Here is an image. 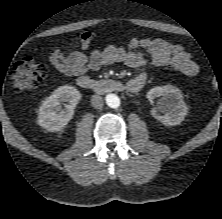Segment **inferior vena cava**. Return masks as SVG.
<instances>
[{
  "mask_svg": "<svg viewBox=\"0 0 222 219\" xmlns=\"http://www.w3.org/2000/svg\"><path fill=\"white\" fill-rule=\"evenodd\" d=\"M91 104L95 109H101L103 107V98L100 95H93Z\"/></svg>",
  "mask_w": 222,
  "mask_h": 219,
  "instance_id": "obj_1",
  "label": "inferior vena cava"
}]
</instances>
